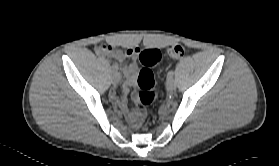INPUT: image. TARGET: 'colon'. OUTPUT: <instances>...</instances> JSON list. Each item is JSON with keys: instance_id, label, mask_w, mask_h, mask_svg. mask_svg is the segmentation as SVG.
I'll use <instances>...</instances> for the list:
<instances>
[{"instance_id": "1", "label": "colon", "mask_w": 279, "mask_h": 166, "mask_svg": "<svg viewBox=\"0 0 279 166\" xmlns=\"http://www.w3.org/2000/svg\"><path fill=\"white\" fill-rule=\"evenodd\" d=\"M166 54L172 59H181L186 55V49L183 45L174 44L167 48ZM139 63L143 66L137 77V102L139 110L137 116L140 119L149 106H152L160 97V91L155 87L152 67H157L162 63L163 57L159 50L147 49L142 51L138 57ZM144 122V126L148 125Z\"/></svg>"}]
</instances>
